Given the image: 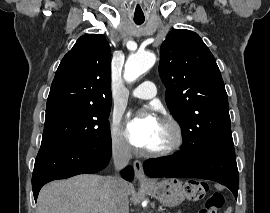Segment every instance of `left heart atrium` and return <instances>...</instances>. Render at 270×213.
<instances>
[{
  "label": "left heart atrium",
  "mask_w": 270,
  "mask_h": 213,
  "mask_svg": "<svg viewBox=\"0 0 270 213\" xmlns=\"http://www.w3.org/2000/svg\"><path fill=\"white\" fill-rule=\"evenodd\" d=\"M159 120L152 112L134 116L127 120L125 137L134 147L147 149L158 127Z\"/></svg>",
  "instance_id": "left-heart-atrium-1"
}]
</instances>
